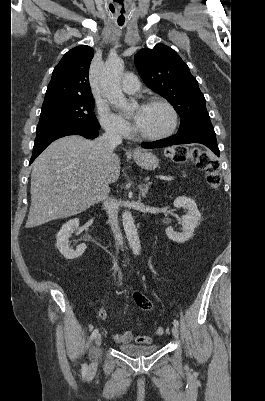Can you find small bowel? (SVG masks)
<instances>
[{"label":"small bowel","mask_w":265,"mask_h":401,"mask_svg":"<svg viewBox=\"0 0 265 401\" xmlns=\"http://www.w3.org/2000/svg\"><path fill=\"white\" fill-rule=\"evenodd\" d=\"M133 299L137 306L141 308L142 310L149 311L152 308L151 302L146 299L142 294L135 292L133 294ZM145 305L146 308L143 309L141 306ZM100 317L102 319H106L107 314L105 310L101 309L99 313ZM113 339L118 342V343H130V342H136V343H143V344H150L152 343V338L149 336H142V335H134L130 331H125L124 333H118L114 334Z\"/></svg>","instance_id":"1"}]
</instances>
